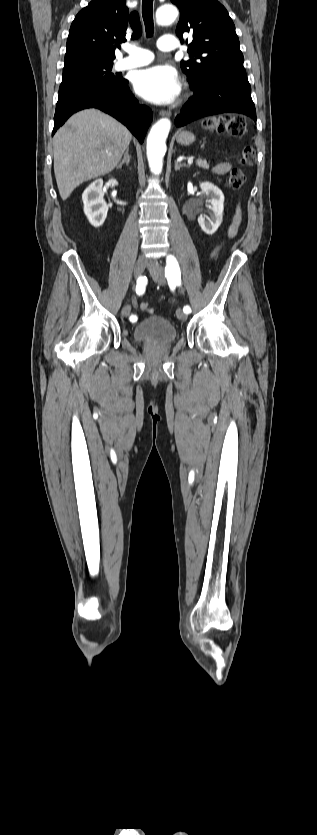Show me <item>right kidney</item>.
Wrapping results in <instances>:
<instances>
[{"mask_svg":"<svg viewBox=\"0 0 317 835\" xmlns=\"http://www.w3.org/2000/svg\"><path fill=\"white\" fill-rule=\"evenodd\" d=\"M103 180L96 179L83 192L84 213L90 224L100 227L107 216L108 205L103 199Z\"/></svg>","mask_w":317,"mask_h":835,"instance_id":"right-kidney-1","label":"right kidney"}]
</instances>
